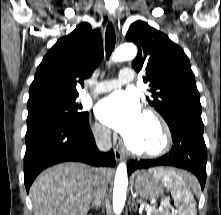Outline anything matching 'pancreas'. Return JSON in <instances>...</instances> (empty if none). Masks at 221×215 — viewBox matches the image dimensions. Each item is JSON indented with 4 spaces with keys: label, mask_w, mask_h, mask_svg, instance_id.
<instances>
[{
    "label": "pancreas",
    "mask_w": 221,
    "mask_h": 215,
    "mask_svg": "<svg viewBox=\"0 0 221 215\" xmlns=\"http://www.w3.org/2000/svg\"><path fill=\"white\" fill-rule=\"evenodd\" d=\"M146 210H150L153 215H171V213L167 210L159 211L155 207H146Z\"/></svg>",
    "instance_id": "cf45deb5"
}]
</instances>
